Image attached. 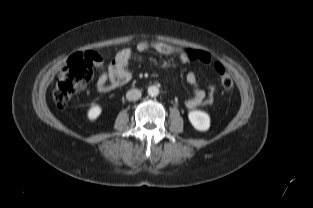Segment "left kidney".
<instances>
[{"label": "left kidney", "instance_id": "1", "mask_svg": "<svg viewBox=\"0 0 313 208\" xmlns=\"http://www.w3.org/2000/svg\"><path fill=\"white\" fill-rule=\"evenodd\" d=\"M188 118L196 130L207 131L210 127V117L207 113L203 111H190L188 114Z\"/></svg>", "mask_w": 313, "mask_h": 208}]
</instances>
